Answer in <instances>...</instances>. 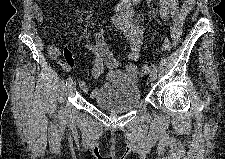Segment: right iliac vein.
Masks as SVG:
<instances>
[{"mask_svg":"<svg viewBox=\"0 0 225 159\" xmlns=\"http://www.w3.org/2000/svg\"><path fill=\"white\" fill-rule=\"evenodd\" d=\"M76 89V84L72 82V84L68 87V92L73 94Z\"/></svg>","mask_w":225,"mask_h":159,"instance_id":"obj_1","label":"right iliac vein"}]
</instances>
